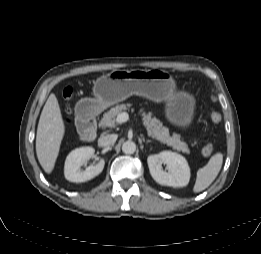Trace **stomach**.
I'll return each mask as SVG.
<instances>
[{"label": "stomach", "instance_id": "1", "mask_svg": "<svg viewBox=\"0 0 261 254\" xmlns=\"http://www.w3.org/2000/svg\"><path fill=\"white\" fill-rule=\"evenodd\" d=\"M172 76L163 70H114L97 79L94 98L83 101L86 111L95 114L131 95L155 102H166V117L177 126H188L193 120L194 99L176 92Z\"/></svg>", "mask_w": 261, "mask_h": 254}]
</instances>
